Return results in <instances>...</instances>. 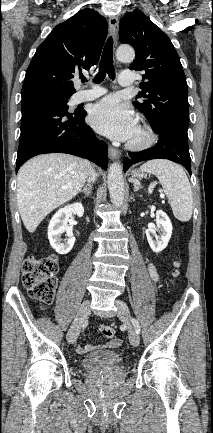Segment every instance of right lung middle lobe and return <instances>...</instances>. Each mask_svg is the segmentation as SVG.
<instances>
[{
	"instance_id": "obj_1",
	"label": "right lung middle lobe",
	"mask_w": 213,
	"mask_h": 433,
	"mask_svg": "<svg viewBox=\"0 0 213 433\" xmlns=\"http://www.w3.org/2000/svg\"><path fill=\"white\" fill-rule=\"evenodd\" d=\"M71 95H58V94H52V93H44V92H38L31 95H28L26 97H33L45 101H49L52 103L57 104L58 106L62 107L64 110L68 111V101L70 99ZM76 109L74 112H77Z\"/></svg>"
}]
</instances>
